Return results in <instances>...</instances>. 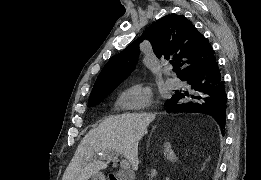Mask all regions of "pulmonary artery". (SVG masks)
Returning a JSON list of instances; mask_svg holds the SVG:
<instances>
[{
  "label": "pulmonary artery",
  "mask_w": 261,
  "mask_h": 180,
  "mask_svg": "<svg viewBox=\"0 0 261 180\" xmlns=\"http://www.w3.org/2000/svg\"><path fill=\"white\" fill-rule=\"evenodd\" d=\"M166 85L170 88V89H174L180 86V81L176 78H169L166 81Z\"/></svg>",
  "instance_id": "1"
}]
</instances>
